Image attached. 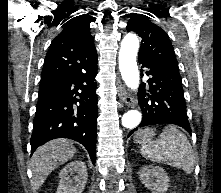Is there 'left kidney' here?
<instances>
[{"mask_svg":"<svg viewBox=\"0 0 221 193\" xmlns=\"http://www.w3.org/2000/svg\"><path fill=\"white\" fill-rule=\"evenodd\" d=\"M141 182L152 193H165L169 187V177L166 171L159 166H143L139 171Z\"/></svg>","mask_w":221,"mask_h":193,"instance_id":"5707ae66","label":"left kidney"}]
</instances>
